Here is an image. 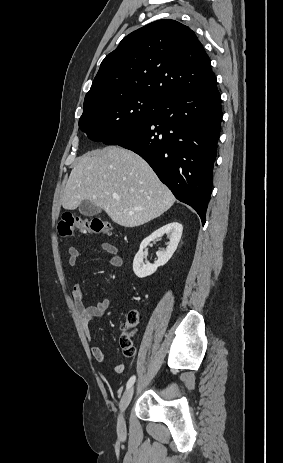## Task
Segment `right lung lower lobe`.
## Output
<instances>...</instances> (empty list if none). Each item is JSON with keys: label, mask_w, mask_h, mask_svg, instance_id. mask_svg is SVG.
<instances>
[{"label": "right lung lower lobe", "mask_w": 283, "mask_h": 463, "mask_svg": "<svg viewBox=\"0 0 283 463\" xmlns=\"http://www.w3.org/2000/svg\"><path fill=\"white\" fill-rule=\"evenodd\" d=\"M222 121L221 96L211 86L158 102L149 118L109 140L140 155L174 196L206 221Z\"/></svg>", "instance_id": "right-lung-lower-lobe-1"}]
</instances>
